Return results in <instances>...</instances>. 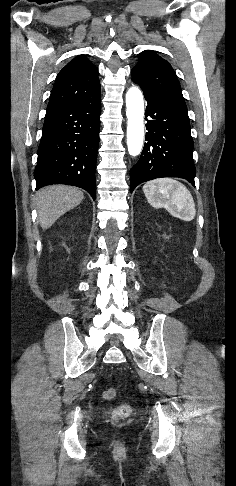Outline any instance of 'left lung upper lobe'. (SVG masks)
Wrapping results in <instances>:
<instances>
[{"label":"left lung upper lobe","mask_w":236,"mask_h":486,"mask_svg":"<svg viewBox=\"0 0 236 486\" xmlns=\"http://www.w3.org/2000/svg\"><path fill=\"white\" fill-rule=\"evenodd\" d=\"M132 80L152 90L178 109L187 112L179 80L168 61L152 50L143 51L131 70Z\"/></svg>","instance_id":"left-lung-upper-lobe-1"}]
</instances>
